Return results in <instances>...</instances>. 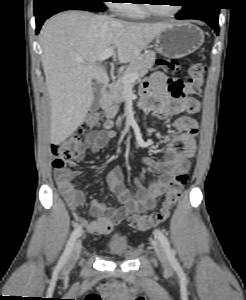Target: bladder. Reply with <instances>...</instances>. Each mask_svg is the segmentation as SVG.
<instances>
[{
	"label": "bladder",
	"instance_id": "bladder-1",
	"mask_svg": "<svg viewBox=\"0 0 246 300\" xmlns=\"http://www.w3.org/2000/svg\"><path fill=\"white\" fill-rule=\"evenodd\" d=\"M107 248L115 255L131 258L133 256L132 248L129 244L128 237L121 232L112 234L106 241Z\"/></svg>",
	"mask_w": 246,
	"mask_h": 300
}]
</instances>
